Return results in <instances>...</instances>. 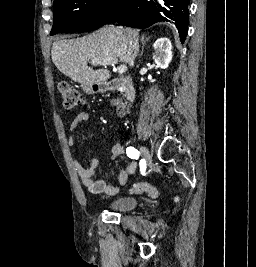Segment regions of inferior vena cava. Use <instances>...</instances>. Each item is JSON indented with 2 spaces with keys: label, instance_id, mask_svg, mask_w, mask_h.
Wrapping results in <instances>:
<instances>
[{
  "label": "inferior vena cava",
  "instance_id": "1",
  "mask_svg": "<svg viewBox=\"0 0 256 267\" xmlns=\"http://www.w3.org/2000/svg\"><path fill=\"white\" fill-rule=\"evenodd\" d=\"M132 50H133V56H134V58H136V56H137V54L139 52L138 42H136V44H133Z\"/></svg>",
  "mask_w": 256,
  "mask_h": 267
}]
</instances>
